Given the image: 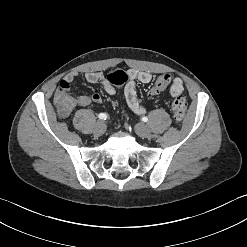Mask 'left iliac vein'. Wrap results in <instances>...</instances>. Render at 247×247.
<instances>
[{
	"instance_id": "obj_1",
	"label": "left iliac vein",
	"mask_w": 247,
	"mask_h": 247,
	"mask_svg": "<svg viewBox=\"0 0 247 247\" xmlns=\"http://www.w3.org/2000/svg\"><path fill=\"white\" fill-rule=\"evenodd\" d=\"M135 132L142 138H147L151 135L149 127L145 124H137L135 126Z\"/></svg>"
}]
</instances>
